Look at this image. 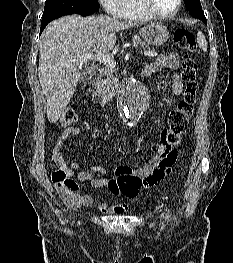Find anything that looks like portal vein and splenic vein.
I'll use <instances>...</instances> for the list:
<instances>
[{
    "label": "portal vein and splenic vein",
    "instance_id": "18ae733b",
    "mask_svg": "<svg viewBox=\"0 0 233 263\" xmlns=\"http://www.w3.org/2000/svg\"><path fill=\"white\" fill-rule=\"evenodd\" d=\"M147 56H156V52H145ZM89 60L97 61V62H104L105 64L109 65L110 67H115L114 58L108 54H95L87 53L79 57L78 59L74 60L73 63H66V66H70L72 64H82Z\"/></svg>",
    "mask_w": 233,
    "mask_h": 263
}]
</instances>
